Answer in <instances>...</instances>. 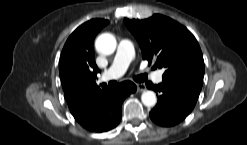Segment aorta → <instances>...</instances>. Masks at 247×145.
Listing matches in <instances>:
<instances>
[{"instance_id":"1","label":"aorta","mask_w":247,"mask_h":145,"mask_svg":"<svg viewBox=\"0 0 247 145\" xmlns=\"http://www.w3.org/2000/svg\"><path fill=\"white\" fill-rule=\"evenodd\" d=\"M95 45L98 52L103 55H110L115 51L117 41L112 34L104 33L96 39ZM141 100L145 106L152 107L156 104L157 97L153 91L147 90L142 93Z\"/></svg>"}]
</instances>
